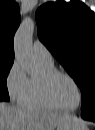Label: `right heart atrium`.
Wrapping results in <instances>:
<instances>
[{
  "label": "right heart atrium",
  "instance_id": "right-heart-atrium-1",
  "mask_svg": "<svg viewBox=\"0 0 95 130\" xmlns=\"http://www.w3.org/2000/svg\"><path fill=\"white\" fill-rule=\"evenodd\" d=\"M29 82L30 79L24 69L19 62L15 61L11 65L5 79L6 90L11 100L17 104H23Z\"/></svg>",
  "mask_w": 95,
  "mask_h": 130
}]
</instances>
